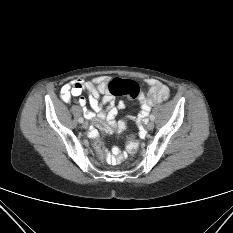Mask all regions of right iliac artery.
I'll use <instances>...</instances> for the list:
<instances>
[{
	"instance_id": "obj_1",
	"label": "right iliac artery",
	"mask_w": 233,
	"mask_h": 233,
	"mask_svg": "<svg viewBox=\"0 0 233 233\" xmlns=\"http://www.w3.org/2000/svg\"><path fill=\"white\" fill-rule=\"evenodd\" d=\"M83 120H84V119H83L82 117H80L78 121H79V123H82Z\"/></svg>"
}]
</instances>
